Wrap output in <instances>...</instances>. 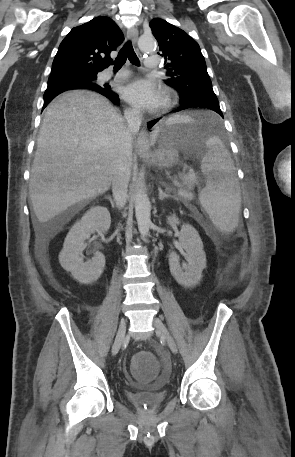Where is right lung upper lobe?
<instances>
[{
	"mask_svg": "<svg viewBox=\"0 0 295 457\" xmlns=\"http://www.w3.org/2000/svg\"><path fill=\"white\" fill-rule=\"evenodd\" d=\"M123 40L120 28L108 17L99 16L74 27L59 46L48 82L97 76L110 65V52Z\"/></svg>",
	"mask_w": 295,
	"mask_h": 457,
	"instance_id": "obj_1",
	"label": "right lung upper lobe"
}]
</instances>
